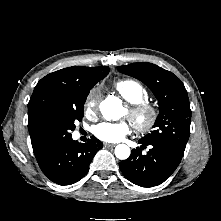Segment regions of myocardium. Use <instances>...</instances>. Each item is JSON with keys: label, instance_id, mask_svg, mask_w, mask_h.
I'll return each mask as SVG.
<instances>
[{"label": "myocardium", "instance_id": "obj_1", "mask_svg": "<svg viewBox=\"0 0 221 221\" xmlns=\"http://www.w3.org/2000/svg\"><path fill=\"white\" fill-rule=\"evenodd\" d=\"M128 115L138 132L147 133L155 127L159 111L152 103L143 101L138 104H132L128 109Z\"/></svg>", "mask_w": 221, "mask_h": 221}]
</instances>
